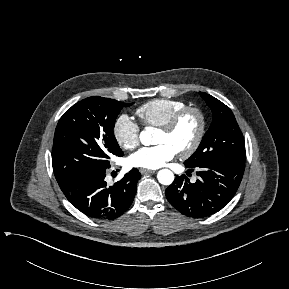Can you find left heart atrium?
<instances>
[{
    "instance_id": "39dd6f15",
    "label": "left heart atrium",
    "mask_w": 289,
    "mask_h": 289,
    "mask_svg": "<svg viewBox=\"0 0 289 289\" xmlns=\"http://www.w3.org/2000/svg\"><path fill=\"white\" fill-rule=\"evenodd\" d=\"M177 154L176 150L167 143L153 147H143L129 156L131 166L144 169H157L170 161Z\"/></svg>"
}]
</instances>
